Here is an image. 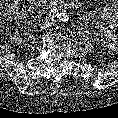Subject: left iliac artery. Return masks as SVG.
I'll list each match as a JSON object with an SVG mask.
<instances>
[{
    "label": "left iliac artery",
    "mask_w": 118,
    "mask_h": 118,
    "mask_svg": "<svg viewBox=\"0 0 118 118\" xmlns=\"http://www.w3.org/2000/svg\"><path fill=\"white\" fill-rule=\"evenodd\" d=\"M58 18L61 21H64V22H67L69 20V16L65 12L60 13L59 16H58Z\"/></svg>",
    "instance_id": "1"
}]
</instances>
